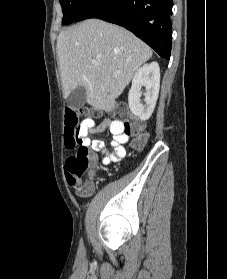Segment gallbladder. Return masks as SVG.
I'll return each mask as SVG.
<instances>
[{"label": "gallbladder", "instance_id": "1", "mask_svg": "<svg viewBox=\"0 0 227 279\" xmlns=\"http://www.w3.org/2000/svg\"><path fill=\"white\" fill-rule=\"evenodd\" d=\"M86 101V90L82 86L76 87L68 96L67 104L70 108L77 110L81 108Z\"/></svg>", "mask_w": 227, "mask_h": 279}]
</instances>
